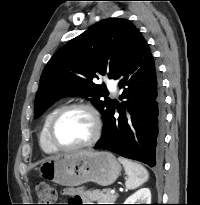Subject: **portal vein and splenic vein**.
Here are the masks:
<instances>
[{"label": "portal vein and splenic vein", "mask_w": 200, "mask_h": 205, "mask_svg": "<svg viewBox=\"0 0 200 205\" xmlns=\"http://www.w3.org/2000/svg\"><path fill=\"white\" fill-rule=\"evenodd\" d=\"M110 192H111L112 194H114V193H115V189H112Z\"/></svg>", "instance_id": "1"}]
</instances>
